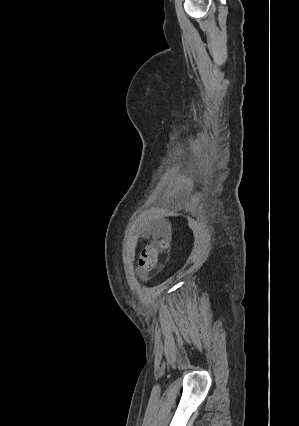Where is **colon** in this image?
Listing matches in <instances>:
<instances>
[{
    "mask_svg": "<svg viewBox=\"0 0 299 426\" xmlns=\"http://www.w3.org/2000/svg\"><path fill=\"white\" fill-rule=\"evenodd\" d=\"M168 245L166 240L161 241L160 249H165ZM140 267L145 271H152L156 269L159 265V249L156 248H146L141 255L139 261Z\"/></svg>",
    "mask_w": 299,
    "mask_h": 426,
    "instance_id": "colon-1",
    "label": "colon"
}]
</instances>
